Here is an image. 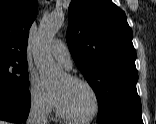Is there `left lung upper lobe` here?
<instances>
[{
  "mask_svg": "<svg viewBox=\"0 0 156 124\" xmlns=\"http://www.w3.org/2000/svg\"><path fill=\"white\" fill-rule=\"evenodd\" d=\"M132 30L125 13L111 0H73L66 41L93 88L98 116L111 112L141 115Z\"/></svg>",
  "mask_w": 156,
  "mask_h": 124,
  "instance_id": "obj_1",
  "label": "left lung upper lobe"
}]
</instances>
